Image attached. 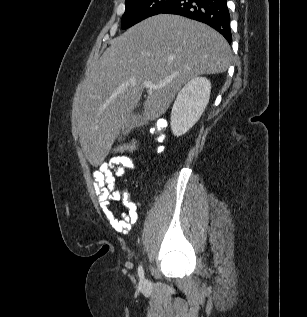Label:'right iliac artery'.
Listing matches in <instances>:
<instances>
[{"label": "right iliac artery", "instance_id": "82829eb1", "mask_svg": "<svg viewBox=\"0 0 307 317\" xmlns=\"http://www.w3.org/2000/svg\"><path fill=\"white\" fill-rule=\"evenodd\" d=\"M138 275H139L141 280H144V270H143L141 265H139V267H138Z\"/></svg>", "mask_w": 307, "mask_h": 317}]
</instances>
